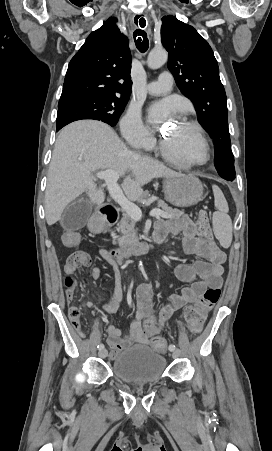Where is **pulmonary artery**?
Returning <instances> with one entry per match:
<instances>
[{"mask_svg":"<svg viewBox=\"0 0 272 451\" xmlns=\"http://www.w3.org/2000/svg\"><path fill=\"white\" fill-rule=\"evenodd\" d=\"M173 85V77L167 69L162 71V74L158 77V80L152 83H149L144 89L143 92L150 95H166L168 94Z\"/></svg>","mask_w":272,"mask_h":451,"instance_id":"e3ab8cb5","label":"pulmonary artery"}]
</instances>
